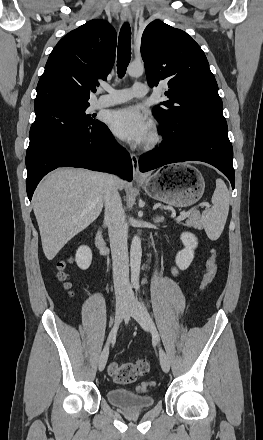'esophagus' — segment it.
Returning <instances> with one entry per match:
<instances>
[{
	"label": "esophagus",
	"instance_id": "1",
	"mask_svg": "<svg viewBox=\"0 0 263 440\" xmlns=\"http://www.w3.org/2000/svg\"><path fill=\"white\" fill-rule=\"evenodd\" d=\"M121 20L123 22H132V16L131 13L128 10H122L121 11ZM131 160H132V166H133V178L135 180H139L143 178V175L141 174L139 170V159L138 156L134 153L131 154Z\"/></svg>",
	"mask_w": 263,
	"mask_h": 440
}]
</instances>
